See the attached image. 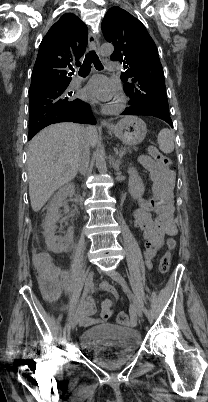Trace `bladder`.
I'll use <instances>...</instances> for the list:
<instances>
[{"instance_id": "obj_1", "label": "bladder", "mask_w": 208, "mask_h": 402, "mask_svg": "<svg viewBox=\"0 0 208 402\" xmlns=\"http://www.w3.org/2000/svg\"><path fill=\"white\" fill-rule=\"evenodd\" d=\"M80 343L91 351L93 362L115 367L139 348L140 338L138 331L124 326L95 324L84 330Z\"/></svg>"}]
</instances>
